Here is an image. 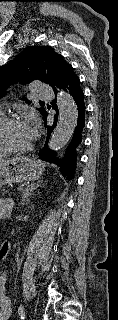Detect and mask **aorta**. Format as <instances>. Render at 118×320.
Masks as SVG:
<instances>
[{
	"label": "aorta",
	"instance_id": "1",
	"mask_svg": "<svg viewBox=\"0 0 118 320\" xmlns=\"http://www.w3.org/2000/svg\"><path fill=\"white\" fill-rule=\"evenodd\" d=\"M57 105L59 109L58 123L48 144L49 149L54 151L60 150L69 142L78 118L77 106L70 94L61 92L57 98Z\"/></svg>",
	"mask_w": 118,
	"mask_h": 320
}]
</instances>
